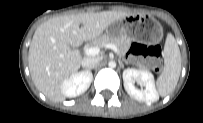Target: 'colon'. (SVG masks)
<instances>
[{
    "label": "colon",
    "mask_w": 203,
    "mask_h": 123,
    "mask_svg": "<svg viewBox=\"0 0 203 123\" xmlns=\"http://www.w3.org/2000/svg\"><path fill=\"white\" fill-rule=\"evenodd\" d=\"M161 50L158 47H152L148 50L147 55L152 62L153 68L156 72H160L162 69V61L160 59Z\"/></svg>",
    "instance_id": "obj_1"
}]
</instances>
